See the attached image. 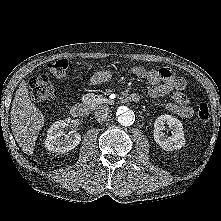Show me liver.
I'll list each match as a JSON object with an SVG mask.
<instances>
[{"mask_svg":"<svg viewBox=\"0 0 221 221\" xmlns=\"http://www.w3.org/2000/svg\"><path fill=\"white\" fill-rule=\"evenodd\" d=\"M44 126L41 111L31 102L27 83L23 80L15 93L11 108V128L15 140L27 155H32L35 141Z\"/></svg>","mask_w":221,"mask_h":221,"instance_id":"6515ba94","label":"liver"}]
</instances>
